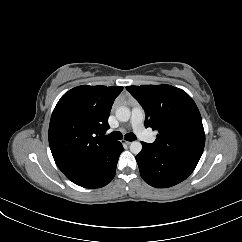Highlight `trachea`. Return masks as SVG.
Here are the masks:
<instances>
[{
  "instance_id": "trachea-1",
  "label": "trachea",
  "mask_w": 242,
  "mask_h": 242,
  "mask_svg": "<svg viewBox=\"0 0 242 242\" xmlns=\"http://www.w3.org/2000/svg\"><path fill=\"white\" fill-rule=\"evenodd\" d=\"M108 137L113 140H120L122 139V133L119 131H115L110 133ZM135 139H136V136L133 133H127L125 135V140L127 141H134Z\"/></svg>"
}]
</instances>
